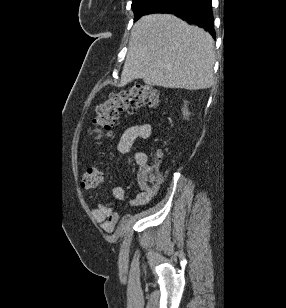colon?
Here are the masks:
<instances>
[{
	"label": "colon",
	"mask_w": 286,
	"mask_h": 308,
	"mask_svg": "<svg viewBox=\"0 0 286 308\" xmlns=\"http://www.w3.org/2000/svg\"><path fill=\"white\" fill-rule=\"evenodd\" d=\"M160 102L157 91L151 86H133L125 91L111 94L109 99L96 107V139L102 140L112 135L114 124L120 112L134 113L139 108L147 106L156 108ZM148 177L157 181L161 173L156 165H150ZM103 179V172L99 167L88 168L81 177V188L90 190L97 187Z\"/></svg>",
	"instance_id": "colon-1"
}]
</instances>
